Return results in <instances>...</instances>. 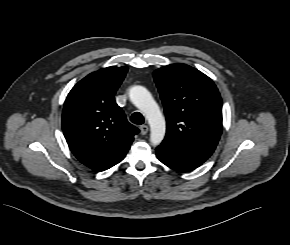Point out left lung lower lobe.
<instances>
[{"label": "left lung lower lobe", "mask_w": 290, "mask_h": 245, "mask_svg": "<svg viewBox=\"0 0 290 245\" xmlns=\"http://www.w3.org/2000/svg\"><path fill=\"white\" fill-rule=\"evenodd\" d=\"M156 155L163 164L179 172L193 170L203 163V161L184 156L163 145L156 148Z\"/></svg>", "instance_id": "left-lung-lower-lobe-1"}]
</instances>
